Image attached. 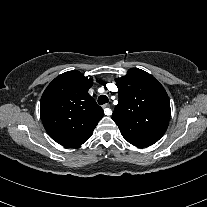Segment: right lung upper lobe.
<instances>
[{
  "mask_svg": "<svg viewBox=\"0 0 207 207\" xmlns=\"http://www.w3.org/2000/svg\"><path fill=\"white\" fill-rule=\"evenodd\" d=\"M91 79L79 71H68L56 77L45 89L40 102V115L49 136L67 147L86 142L103 110L88 94Z\"/></svg>",
  "mask_w": 207,
  "mask_h": 207,
  "instance_id": "right-lung-upper-lobe-1",
  "label": "right lung upper lobe"
}]
</instances>
